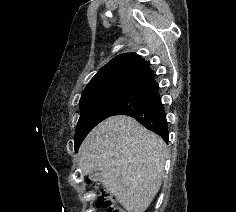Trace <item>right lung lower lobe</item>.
I'll return each mask as SVG.
<instances>
[{"mask_svg":"<svg viewBox=\"0 0 236 212\" xmlns=\"http://www.w3.org/2000/svg\"><path fill=\"white\" fill-rule=\"evenodd\" d=\"M113 115L131 116L147 129L160 135L164 141H168L166 113L161 102L159 86L153 73L136 84L129 96L111 116Z\"/></svg>","mask_w":236,"mask_h":212,"instance_id":"98d812e1","label":"right lung lower lobe"}]
</instances>
